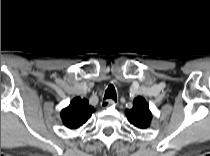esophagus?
<instances>
[{
  "mask_svg": "<svg viewBox=\"0 0 210 156\" xmlns=\"http://www.w3.org/2000/svg\"><path fill=\"white\" fill-rule=\"evenodd\" d=\"M114 104H115V102L113 100H111V99L103 100L101 102V107L102 108H106V107L111 106V105H114Z\"/></svg>",
  "mask_w": 210,
  "mask_h": 156,
  "instance_id": "obj_1",
  "label": "esophagus"
}]
</instances>
